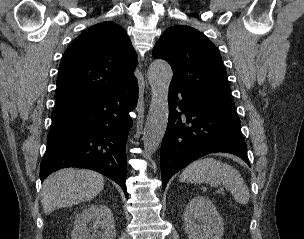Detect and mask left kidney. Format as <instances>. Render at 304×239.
I'll list each match as a JSON object with an SVG mask.
<instances>
[{"label": "left kidney", "mask_w": 304, "mask_h": 239, "mask_svg": "<svg viewBox=\"0 0 304 239\" xmlns=\"http://www.w3.org/2000/svg\"><path fill=\"white\" fill-rule=\"evenodd\" d=\"M184 225L189 239H221L224 231L223 219L215 205L199 195L186 205Z\"/></svg>", "instance_id": "5707ae66"}]
</instances>
